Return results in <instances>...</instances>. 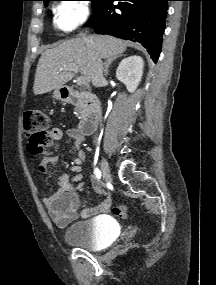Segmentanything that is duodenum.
<instances>
[{"instance_id":"obj_1","label":"duodenum","mask_w":216,"mask_h":285,"mask_svg":"<svg viewBox=\"0 0 216 285\" xmlns=\"http://www.w3.org/2000/svg\"><path fill=\"white\" fill-rule=\"evenodd\" d=\"M61 97L68 103H82L84 105L80 130L86 135L92 133L97 127L101 113V105L97 96L88 91L64 87L61 89Z\"/></svg>"}]
</instances>
